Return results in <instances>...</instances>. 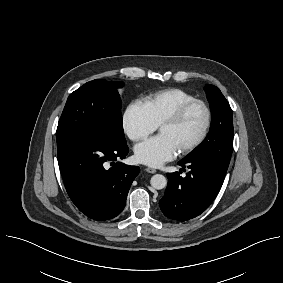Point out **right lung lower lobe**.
<instances>
[{"mask_svg": "<svg viewBox=\"0 0 283 283\" xmlns=\"http://www.w3.org/2000/svg\"><path fill=\"white\" fill-rule=\"evenodd\" d=\"M128 152L126 141L92 131L77 134L57 147L67 193L87 217L109 220L123 210L129 188L140 172L139 167L118 162Z\"/></svg>", "mask_w": 283, "mask_h": 283, "instance_id": "obj_1", "label": "right lung lower lobe"}]
</instances>
